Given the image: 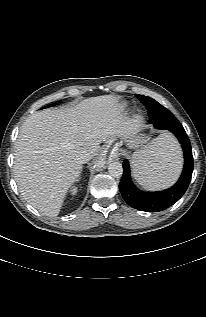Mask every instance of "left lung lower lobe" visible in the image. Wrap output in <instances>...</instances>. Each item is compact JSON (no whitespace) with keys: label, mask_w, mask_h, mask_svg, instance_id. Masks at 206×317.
I'll return each instance as SVG.
<instances>
[{"label":"left lung lower lobe","mask_w":206,"mask_h":317,"mask_svg":"<svg viewBox=\"0 0 206 317\" xmlns=\"http://www.w3.org/2000/svg\"><path fill=\"white\" fill-rule=\"evenodd\" d=\"M151 109L148 111V116L162 115L166 116L164 120L170 124L155 126L159 129H165L172 132L179 140L184 152V168L178 182L171 188L161 192H142L135 187L130 178V168L128 160L123 162V175L119 184L120 192L126 203L135 209L146 212H159L174 203H176L186 192L191 180L193 172V156L191 152V145L189 138L182 127V125H175L171 123L173 118L172 113L163 107L161 104H152Z\"/></svg>","instance_id":"obj_1"}]
</instances>
